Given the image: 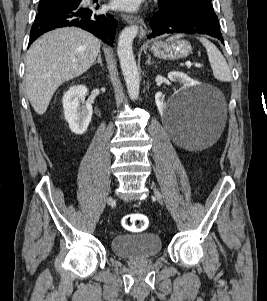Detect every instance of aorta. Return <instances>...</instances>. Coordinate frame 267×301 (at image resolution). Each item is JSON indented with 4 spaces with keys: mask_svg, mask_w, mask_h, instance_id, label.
Segmentation results:
<instances>
[{
    "mask_svg": "<svg viewBox=\"0 0 267 301\" xmlns=\"http://www.w3.org/2000/svg\"><path fill=\"white\" fill-rule=\"evenodd\" d=\"M137 34L136 25L126 27L119 36L117 47L121 70L132 100H136L139 96V73L132 50V43Z\"/></svg>",
    "mask_w": 267,
    "mask_h": 301,
    "instance_id": "1",
    "label": "aorta"
}]
</instances>
